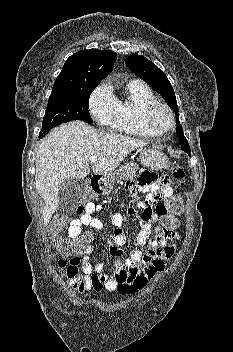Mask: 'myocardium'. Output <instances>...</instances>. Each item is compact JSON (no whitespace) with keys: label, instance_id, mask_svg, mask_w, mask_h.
<instances>
[{"label":"myocardium","instance_id":"myocardium-1","mask_svg":"<svg viewBox=\"0 0 233 352\" xmlns=\"http://www.w3.org/2000/svg\"><path fill=\"white\" fill-rule=\"evenodd\" d=\"M159 111H163L168 117V123L165 126L159 127L156 123V115ZM143 123L146 129L153 136H161L171 131L175 126V118L172 110L164 103L155 101L149 104L143 112Z\"/></svg>","mask_w":233,"mask_h":352}]
</instances>
